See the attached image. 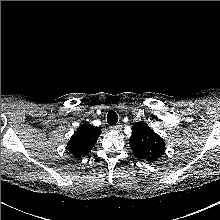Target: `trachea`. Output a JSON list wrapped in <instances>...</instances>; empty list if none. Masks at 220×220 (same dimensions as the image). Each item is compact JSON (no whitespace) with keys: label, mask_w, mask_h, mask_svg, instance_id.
I'll return each instance as SVG.
<instances>
[{"label":"trachea","mask_w":220,"mask_h":220,"mask_svg":"<svg viewBox=\"0 0 220 220\" xmlns=\"http://www.w3.org/2000/svg\"><path fill=\"white\" fill-rule=\"evenodd\" d=\"M118 122V115L113 110H110L107 114V123L109 125L116 124Z\"/></svg>","instance_id":"1"}]
</instances>
